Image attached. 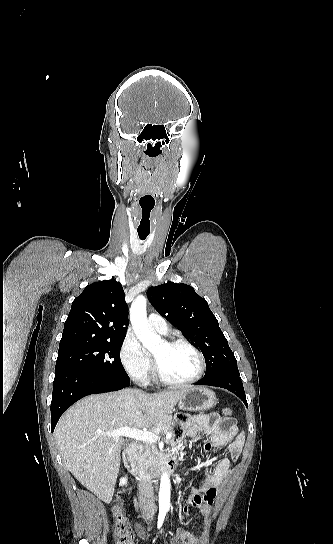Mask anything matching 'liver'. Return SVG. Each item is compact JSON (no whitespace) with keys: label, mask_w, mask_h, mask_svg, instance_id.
Returning a JSON list of instances; mask_svg holds the SVG:
<instances>
[{"label":"liver","mask_w":333,"mask_h":544,"mask_svg":"<svg viewBox=\"0 0 333 544\" xmlns=\"http://www.w3.org/2000/svg\"><path fill=\"white\" fill-rule=\"evenodd\" d=\"M185 391L147 394L124 389L80 400L63 414L55 429L66 468L84 487L109 503L124 440L103 433L123 426L152 427L172 412Z\"/></svg>","instance_id":"liver-1"}]
</instances>
